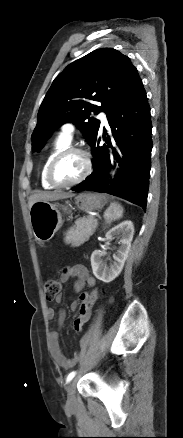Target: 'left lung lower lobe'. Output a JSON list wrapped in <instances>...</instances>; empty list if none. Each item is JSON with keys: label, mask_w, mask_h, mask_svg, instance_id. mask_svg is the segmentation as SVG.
Wrapping results in <instances>:
<instances>
[{"label": "left lung lower lobe", "mask_w": 183, "mask_h": 438, "mask_svg": "<svg viewBox=\"0 0 183 438\" xmlns=\"http://www.w3.org/2000/svg\"><path fill=\"white\" fill-rule=\"evenodd\" d=\"M107 119L113 138L122 154L120 158L113 148V154L121 167L118 181L112 186H105L110 154L105 145L95 147L96 136L90 144L94 154L92 160L94 170L85 181L72 190L108 193L146 209L151 168L152 124L150 107L140 77L134 80L125 94L109 110ZM104 134L107 135L106 132ZM104 140L108 147H112L109 136L104 137Z\"/></svg>", "instance_id": "1"}]
</instances>
